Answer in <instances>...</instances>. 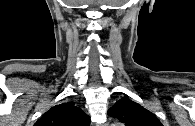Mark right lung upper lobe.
I'll return each mask as SVG.
<instances>
[{"label": "right lung upper lobe", "mask_w": 195, "mask_h": 126, "mask_svg": "<svg viewBox=\"0 0 195 126\" xmlns=\"http://www.w3.org/2000/svg\"><path fill=\"white\" fill-rule=\"evenodd\" d=\"M89 117L73 102L62 103L47 111L34 126H88Z\"/></svg>", "instance_id": "right-lung-upper-lobe-1"}]
</instances>
